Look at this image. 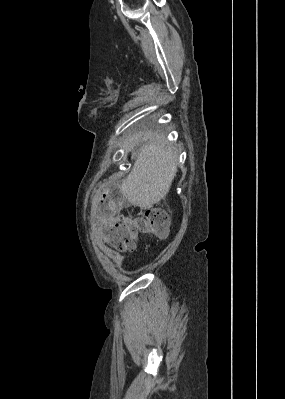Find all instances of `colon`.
Segmentation results:
<instances>
[{"mask_svg":"<svg viewBox=\"0 0 285 399\" xmlns=\"http://www.w3.org/2000/svg\"><path fill=\"white\" fill-rule=\"evenodd\" d=\"M118 208L119 193L114 188L101 191L92 204L100 236L111 242L115 250L122 253L134 250L140 235H168L169 219L162 208H143L134 214L117 213Z\"/></svg>","mask_w":285,"mask_h":399,"instance_id":"5ec220e1","label":"colon"}]
</instances>
